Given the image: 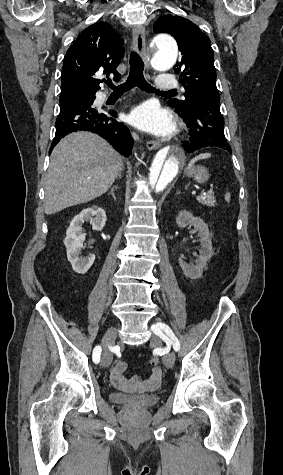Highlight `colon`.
<instances>
[{
    "instance_id": "colon-1",
    "label": "colon",
    "mask_w": 283,
    "mask_h": 475,
    "mask_svg": "<svg viewBox=\"0 0 283 475\" xmlns=\"http://www.w3.org/2000/svg\"><path fill=\"white\" fill-rule=\"evenodd\" d=\"M150 366L156 367L159 364V359L157 357H153L149 361Z\"/></svg>"
}]
</instances>
